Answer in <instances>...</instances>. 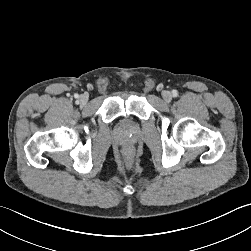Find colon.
<instances>
[{"label": "colon", "mask_w": 251, "mask_h": 251, "mask_svg": "<svg viewBox=\"0 0 251 251\" xmlns=\"http://www.w3.org/2000/svg\"><path fill=\"white\" fill-rule=\"evenodd\" d=\"M124 158L125 160L130 163L133 159V153L131 150L127 149L125 152H124Z\"/></svg>", "instance_id": "5ec220e1"}]
</instances>
